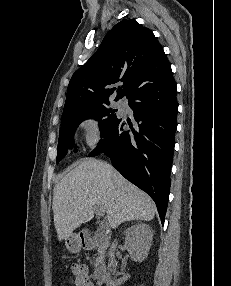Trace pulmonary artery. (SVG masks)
<instances>
[{
    "label": "pulmonary artery",
    "instance_id": "obj_1",
    "mask_svg": "<svg viewBox=\"0 0 231 286\" xmlns=\"http://www.w3.org/2000/svg\"><path fill=\"white\" fill-rule=\"evenodd\" d=\"M115 104H116L118 107H121V106L124 105V102H123L122 100H117V101L115 102Z\"/></svg>",
    "mask_w": 231,
    "mask_h": 286
}]
</instances>
